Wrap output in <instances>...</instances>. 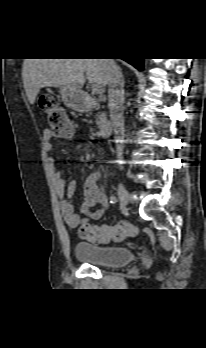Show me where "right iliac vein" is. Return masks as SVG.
<instances>
[{
    "label": "right iliac vein",
    "instance_id": "obj_1",
    "mask_svg": "<svg viewBox=\"0 0 206 348\" xmlns=\"http://www.w3.org/2000/svg\"><path fill=\"white\" fill-rule=\"evenodd\" d=\"M118 196L122 206H127L130 201V194L122 183L118 185Z\"/></svg>",
    "mask_w": 206,
    "mask_h": 348
}]
</instances>
